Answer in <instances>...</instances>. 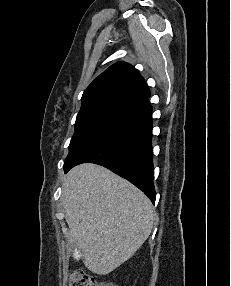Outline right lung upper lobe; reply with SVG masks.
Returning a JSON list of instances; mask_svg holds the SVG:
<instances>
[{"mask_svg": "<svg viewBox=\"0 0 231 286\" xmlns=\"http://www.w3.org/2000/svg\"><path fill=\"white\" fill-rule=\"evenodd\" d=\"M150 92L139 72L130 64L117 62L98 76L84 91L81 109L112 103L137 110Z\"/></svg>", "mask_w": 231, "mask_h": 286, "instance_id": "right-lung-upper-lobe-1", "label": "right lung upper lobe"}]
</instances>
